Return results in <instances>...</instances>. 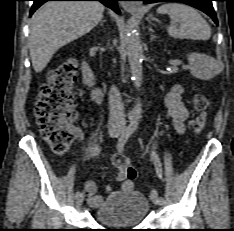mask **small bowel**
Listing matches in <instances>:
<instances>
[{
    "instance_id": "obj_1",
    "label": "small bowel",
    "mask_w": 234,
    "mask_h": 231,
    "mask_svg": "<svg viewBox=\"0 0 234 231\" xmlns=\"http://www.w3.org/2000/svg\"><path fill=\"white\" fill-rule=\"evenodd\" d=\"M182 93L183 87L180 84H175L165 96L167 118L172 121L174 129L179 134L184 133L185 121L188 118V110L181 100ZM72 132L78 139L82 138V131L79 128H73ZM132 189L133 182L129 180H123L121 190L128 192ZM84 191L87 195L88 204L91 207H98L102 203V197L96 193V185L93 181L88 180L85 182ZM108 191H111V189L108 188Z\"/></svg>"
}]
</instances>
